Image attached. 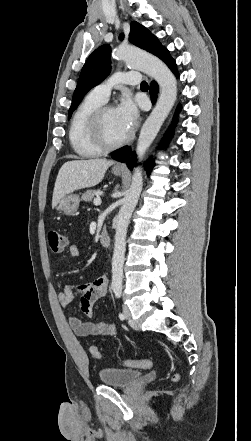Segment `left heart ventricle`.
Here are the masks:
<instances>
[{
	"label": "left heart ventricle",
	"mask_w": 251,
	"mask_h": 441,
	"mask_svg": "<svg viewBox=\"0 0 251 441\" xmlns=\"http://www.w3.org/2000/svg\"><path fill=\"white\" fill-rule=\"evenodd\" d=\"M103 126L105 135L111 142L118 141L128 134L122 126L115 108H111L106 112Z\"/></svg>",
	"instance_id": "obj_1"
}]
</instances>
